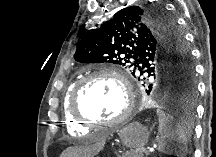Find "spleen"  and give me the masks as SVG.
Wrapping results in <instances>:
<instances>
[{"label": "spleen", "mask_w": 216, "mask_h": 157, "mask_svg": "<svg viewBox=\"0 0 216 157\" xmlns=\"http://www.w3.org/2000/svg\"><path fill=\"white\" fill-rule=\"evenodd\" d=\"M157 115L159 120L158 151L166 155L185 157L189 138L183 123L160 109L157 110Z\"/></svg>", "instance_id": "obj_1"}]
</instances>
